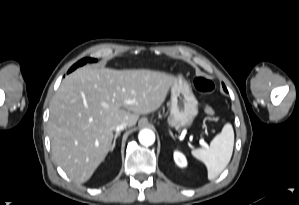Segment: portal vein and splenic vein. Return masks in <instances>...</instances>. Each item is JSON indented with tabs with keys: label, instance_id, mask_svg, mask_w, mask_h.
Listing matches in <instances>:
<instances>
[{
	"label": "portal vein and splenic vein",
	"instance_id": "18ae733b",
	"mask_svg": "<svg viewBox=\"0 0 299 205\" xmlns=\"http://www.w3.org/2000/svg\"><path fill=\"white\" fill-rule=\"evenodd\" d=\"M200 143H201L204 147H206V148L208 147V145H207L203 140H201Z\"/></svg>",
	"mask_w": 299,
	"mask_h": 205
}]
</instances>
